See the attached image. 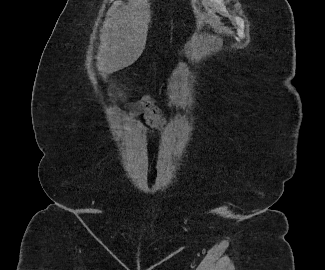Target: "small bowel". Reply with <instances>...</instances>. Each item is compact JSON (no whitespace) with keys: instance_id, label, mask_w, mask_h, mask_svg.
I'll return each instance as SVG.
<instances>
[{"instance_id":"small-bowel-1","label":"small bowel","mask_w":325,"mask_h":270,"mask_svg":"<svg viewBox=\"0 0 325 270\" xmlns=\"http://www.w3.org/2000/svg\"><path fill=\"white\" fill-rule=\"evenodd\" d=\"M168 105H175L177 100L175 98L168 97L165 100ZM153 99H146L139 104L138 110L141 112L147 124L157 131H162L167 126L166 117L155 107ZM149 136L152 135L151 132L147 133Z\"/></svg>"}]
</instances>
